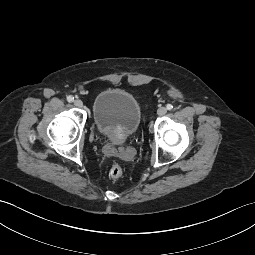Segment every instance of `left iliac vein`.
Listing matches in <instances>:
<instances>
[{
	"mask_svg": "<svg viewBox=\"0 0 255 255\" xmlns=\"http://www.w3.org/2000/svg\"><path fill=\"white\" fill-rule=\"evenodd\" d=\"M166 113H167V109H166L165 107H160V108L157 110V114H158L159 116H164V115H166Z\"/></svg>",
	"mask_w": 255,
	"mask_h": 255,
	"instance_id": "1",
	"label": "left iliac vein"
}]
</instances>
